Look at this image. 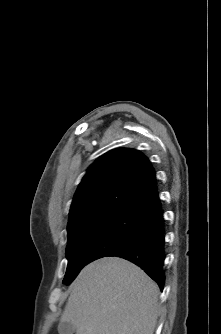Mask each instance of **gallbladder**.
<instances>
[{"label": "gallbladder", "mask_w": 221, "mask_h": 334, "mask_svg": "<svg viewBox=\"0 0 221 334\" xmlns=\"http://www.w3.org/2000/svg\"><path fill=\"white\" fill-rule=\"evenodd\" d=\"M74 331L75 327L70 322H61L58 325L59 334H73Z\"/></svg>", "instance_id": "gallbladder-1"}]
</instances>
